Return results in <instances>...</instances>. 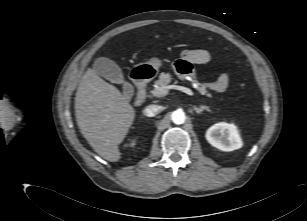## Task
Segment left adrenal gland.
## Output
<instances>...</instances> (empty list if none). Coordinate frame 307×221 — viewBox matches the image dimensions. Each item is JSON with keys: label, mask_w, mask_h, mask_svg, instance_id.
Returning <instances> with one entry per match:
<instances>
[{"label": "left adrenal gland", "mask_w": 307, "mask_h": 221, "mask_svg": "<svg viewBox=\"0 0 307 221\" xmlns=\"http://www.w3.org/2000/svg\"><path fill=\"white\" fill-rule=\"evenodd\" d=\"M193 109H194V111H195L197 114H200V113H201L202 111H204V110L210 112L209 107L204 106V105H201L199 108L196 107V106H194Z\"/></svg>", "instance_id": "a2214340"}]
</instances>
